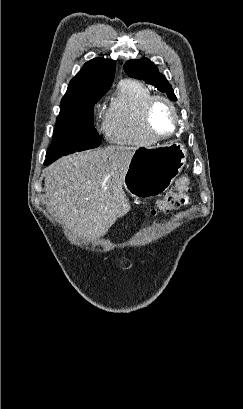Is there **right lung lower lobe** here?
<instances>
[{"label":"right lung lower lobe","mask_w":243,"mask_h":409,"mask_svg":"<svg viewBox=\"0 0 243 409\" xmlns=\"http://www.w3.org/2000/svg\"><path fill=\"white\" fill-rule=\"evenodd\" d=\"M64 155H58V156H46V160L44 162V165H48L52 162H54L55 160L59 159L60 157H62Z\"/></svg>","instance_id":"right-lung-lower-lobe-1"}]
</instances>
